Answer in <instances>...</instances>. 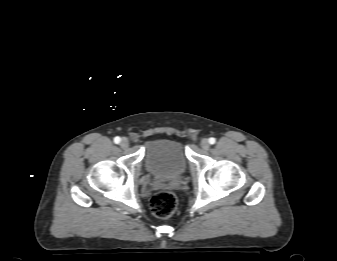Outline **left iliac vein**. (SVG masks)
<instances>
[{"label": "left iliac vein", "instance_id": "obj_1", "mask_svg": "<svg viewBox=\"0 0 337 261\" xmlns=\"http://www.w3.org/2000/svg\"><path fill=\"white\" fill-rule=\"evenodd\" d=\"M200 145L204 150H208L210 147L209 141L205 138L201 140Z\"/></svg>", "mask_w": 337, "mask_h": 261}]
</instances>
